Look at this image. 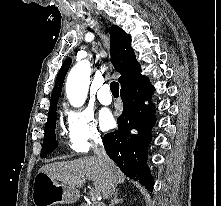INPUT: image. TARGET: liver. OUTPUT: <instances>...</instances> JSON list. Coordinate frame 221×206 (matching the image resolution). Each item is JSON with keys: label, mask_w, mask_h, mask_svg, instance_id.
Returning a JSON list of instances; mask_svg holds the SVG:
<instances>
[{"label": "liver", "mask_w": 221, "mask_h": 206, "mask_svg": "<svg viewBox=\"0 0 221 206\" xmlns=\"http://www.w3.org/2000/svg\"><path fill=\"white\" fill-rule=\"evenodd\" d=\"M39 172L74 188L83 186L87 179L92 180L95 190L104 198L107 197L110 179L115 182V185L123 184L126 179L114 162L110 161L109 167H105L97 157H83L47 164L42 166Z\"/></svg>", "instance_id": "liver-1"}]
</instances>
